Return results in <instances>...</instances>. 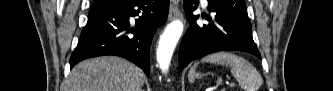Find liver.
I'll list each match as a JSON object with an SVG mask.
<instances>
[{
	"label": "liver",
	"mask_w": 333,
	"mask_h": 91,
	"mask_svg": "<svg viewBox=\"0 0 333 91\" xmlns=\"http://www.w3.org/2000/svg\"><path fill=\"white\" fill-rule=\"evenodd\" d=\"M143 83L140 68L122 58L105 56L77 64L64 91H141Z\"/></svg>",
	"instance_id": "obj_1"
}]
</instances>
